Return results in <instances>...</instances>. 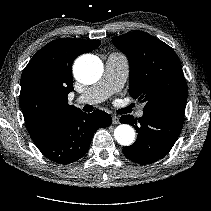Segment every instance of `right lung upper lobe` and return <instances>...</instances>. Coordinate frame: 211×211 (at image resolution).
Wrapping results in <instances>:
<instances>
[{
  "label": "right lung upper lobe",
  "instance_id": "right-lung-upper-lobe-1",
  "mask_svg": "<svg viewBox=\"0 0 211 211\" xmlns=\"http://www.w3.org/2000/svg\"><path fill=\"white\" fill-rule=\"evenodd\" d=\"M100 44L99 40L56 39L41 48L25 67L19 101L34 143L80 110L67 103V96L73 91L72 63Z\"/></svg>",
  "mask_w": 211,
  "mask_h": 211
}]
</instances>
